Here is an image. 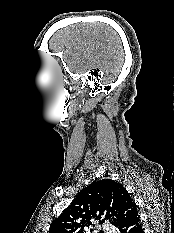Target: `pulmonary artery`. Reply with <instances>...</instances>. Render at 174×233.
Masks as SVG:
<instances>
[{"label": "pulmonary artery", "instance_id": "e3ab8cb5", "mask_svg": "<svg viewBox=\"0 0 174 233\" xmlns=\"http://www.w3.org/2000/svg\"><path fill=\"white\" fill-rule=\"evenodd\" d=\"M103 230L105 233H114L113 228L109 225H104Z\"/></svg>", "mask_w": 174, "mask_h": 233}]
</instances>
